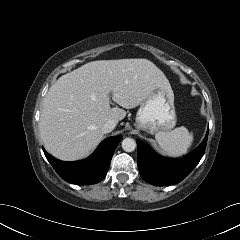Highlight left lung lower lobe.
<instances>
[{"instance_id": "obj_1", "label": "left lung lower lobe", "mask_w": 240, "mask_h": 240, "mask_svg": "<svg viewBox=\"0 0 240 240\" xmlns=\"http://www.w3.org/2000/svg\"><path fill=\"white\" fill-rule=\"evenodd\" d=\"M208 132L203 142L181 159H167L155 154L143 141L137 139L138 169L143 180L155 186L179 183L197 166L204 155Z\"/></svg>"}]
</instances>
